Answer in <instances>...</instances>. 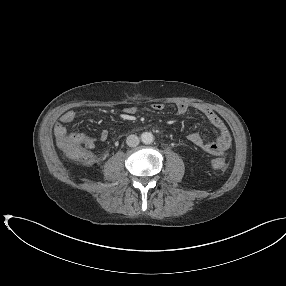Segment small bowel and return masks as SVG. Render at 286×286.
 Masks as SVG:
<instances>
[{
    "mask_svg": "<svg viewBox=\"0 0 286 286\" xmlns=\"http://www.w3.org/2000/svg\"><path fill=\"white\" fill-rule=\"evenodd\" d=\"M152 109L156 112L164 110L165 105L163 103H153ZM193 107L195 110L202 113L209 122L219 131V136L215 141H206L198 132H193L188 136L189 141L200 148L201 150L211 154H222L231 145V135L225 122L207 105L201 103H194L192 105L186 102H179L175 105V110L178 114H185L189 109ZM137 109L134 106H129L124 109L125 114L134 115ZM76 119V113L73 110L65 111L61 117L60 122L54 126V135L56 139H60L63 136L69 134H75L81 138L83 146L88 150H93L97 143L104 142L108 138V131L102 130L97 135H87L84 133H69L65 124H70Z\"/></svg>",
    "mask_w": 286,
    "mask_h": 286,
    "instance_id": "obj_1",
    "label": "small bowel"
}]
</instances>
